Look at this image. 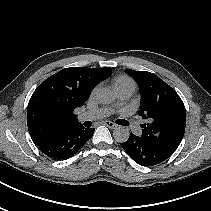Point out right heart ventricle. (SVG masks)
Here are the masks:
<instances>
[{"mask_svg":"<svg viewBox=\"0 0 211 211\" xmlns=\"http://www.w3.org/2000/svg\"><path fill=\"white\" fill-rule=\"evenodd\" d=\"M113 86L118 91L124 88L135 89V82L128 76H118L113 80Z\"/></svg>","mask_w":211,"mask_h":211,"instance_id":"right-heart-ventricle-1","label":"right heart ventricle"}]
</instances>
